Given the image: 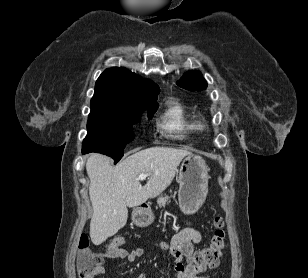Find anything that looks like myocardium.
<instances>
[{"label":"myocardium","mask_w":308,"mask_h":278,"mask_svg":"<svg viewBox=\"0 0 308 278\" xmlns=\"http://www.w3.org/2000/svg\"><path fill=\"white\" fill-rule=\"evenodd\" d=\"M200 127H203V125H202V124H200Z\"/></svg>","instance_id":"obj_1"}]
</instances>
